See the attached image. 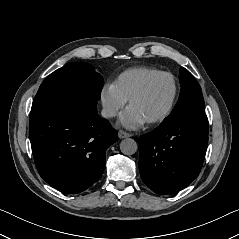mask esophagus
Returning a JSON list of instances; mask_svg holds the SVG:
<instances>
[{
  "label": "esophagus",
  "mask_w": 239,
  "mask_h": 239,
  "mask_svg": "<svg viewBox=\"0 0 239 239\" xmlns=\"http://www.w3.org/2000/svg\"><path fill=\"white\" fill-rule=\"evenodd\" d=\"M131 135L123 130H119L118 131V137L120 139H123V138H127V137H130Z\"/></svg>",
  "instance_id": "34e87169"
}]
</instances>
